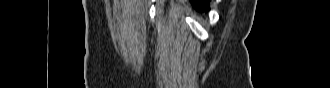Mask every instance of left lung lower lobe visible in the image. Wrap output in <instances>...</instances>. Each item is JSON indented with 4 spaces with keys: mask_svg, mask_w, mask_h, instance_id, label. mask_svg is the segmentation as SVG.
Instances as JSON below:
<instances>
[{
    "mask_svg": "<svg viewBox=\"0 0 330 88\" xmlns=\"http://www.w3.org/2000/svg\"><path fill=\"white\" fill-rule=\"evenodd\" d=\"M194 7L199 11H207L209 0H190Z\"/></svg>",
    "mask_w": 330,
    "mask_h": 88,
    "instance_id": "obj_1",
    "label": "left lung lower lobe"
}]
</instances>
